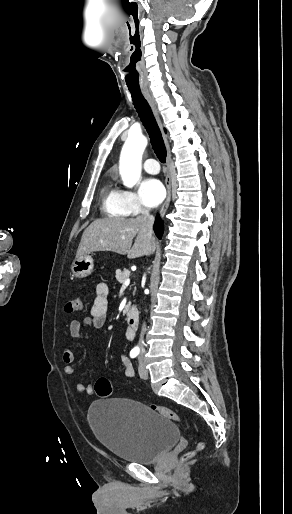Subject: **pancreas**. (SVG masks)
Wrapping results in <instances>:
<instances>
[{
	"label": "pancreas",
	"instance_id": "obj_1",
	"mask_svg": "<svg viewBox=\"0 0 292 514\" xmlns=\"http://www.w3.org/2000/svg\"><path fill=\"white\" fill-rule=\"evenodd\" d=\"M130 276V272L129 270H126V268H123V270H116V280H118V282H120V284H124V282H126V280H128Z\"/></svg>",
	"mask_w": 292,
	"mask_h": 514
}]
</instances>
